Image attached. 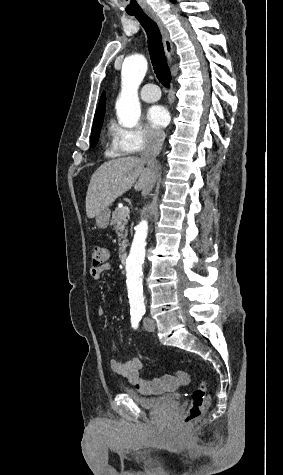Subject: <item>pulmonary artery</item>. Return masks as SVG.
<instances>
[{
	"mask_svg": "<svg viewBox=\"0 0 283 475\" xmlns=\"http://www.w3.org/2000/svg\"><path fill=\"white\" fill-rule=\"evenodd\" d=\"M123 90H138V89H123ZM160 92H161L160 88L157 87V85L153 83L147 84L142 90L143 95L141 96V99L145 102H156L159 99V97H156V96H159Z\"/></svg>",
	"mask_w": 283,
	"mask_h": 475,
	"instance_id": "obj_1",
	"label": "pulmonary artery"
}]
</instances>
